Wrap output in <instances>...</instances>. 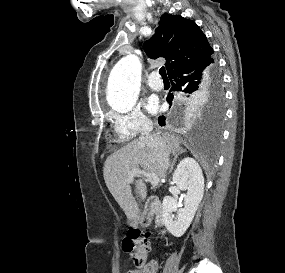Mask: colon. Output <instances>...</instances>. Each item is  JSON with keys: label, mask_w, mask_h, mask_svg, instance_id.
Masks as SVG:
<instances>
[{"label": "colon", "mask_w": 285, "mask_h": 273, "mask_svg": "<svg viewBox=\"0 0 285 273\" xmlns=\"http://www.w3.org/2000/svg\"><path fill=\"white\" fill-rule=\"evenodd\" d=\"M123 250L131 256L134 263V270L129 273H153L155 266L153 264L146 265L149 253V244L147 236L141 231H134L122 241Z\"/></svg>", "instance_id": "1"}]
</instances>
